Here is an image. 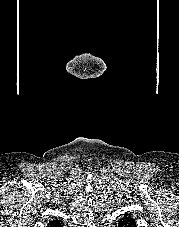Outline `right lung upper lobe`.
I'll return each mask as SVG.
<instances>
[{
    "mask_svg": "<svg viewBox=\"0 0 179 227\" xmlns=\"http://www.w3.org/2000/svg\"><path fill=\"white\" fill-rule=\"evenodd\" d=\"M60 222L58 220H53L48 224V227H59Z\"/></svg>",
    "mask_w": 179,
    "mask_h": 227,
    "instance_id": "obj_1",
    "label": "right lung upper lobe"
}]
</instances>
